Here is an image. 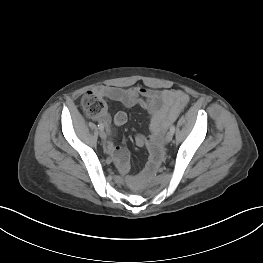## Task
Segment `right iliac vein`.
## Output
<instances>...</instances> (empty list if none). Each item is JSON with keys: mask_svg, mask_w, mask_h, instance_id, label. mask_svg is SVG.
<instances>
[{"mask_svg": "<svg viewBox=\"0 0 263 263\" xmlns=\"http://www.w3.org/2000/svg\"><path fill=\"white\" fill-rule=\"evenodd\" d=\"M100 137L102 140H105L106 139V133L104 130H101L100 133H99Z\"/></svg>", "mask_w": 263, "mask_h": 263, "instance_id": "right-iliac-vein-1", "label": "right iliac vein"}]
</instances>
